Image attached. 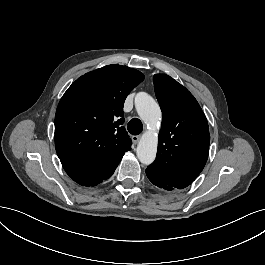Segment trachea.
<instances>
[{
  "label": "trachea",
  "mask_w": 265,
  "mask_h": 265,
  "mask_svg": "<svg viewBox=\"0 0 265 265\" xmlns=\"http://www.w3.org/2000/svg\"><path fill=\"white\" fill-rule=\"evenodd\" d=\"M143 130L142 122L138 118H133L128 122V131L132 135H139Z\"/></svg>",
  "instance_id": "trachea-1"
}]
</instances>
